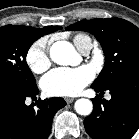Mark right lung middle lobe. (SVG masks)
I'll return each mask as SVG.
<instances>
[{
  "instance_id": "obj_1",
  "label": "right lung middle lobe",
  "mask_w": 139,
  "mask_h": 139,
  "mask_svg": "<svg viewBox=\"0 0 139 139\" xmlns=\"http://www.w3.org/2000/svg\"><path fill=\"white\" fill-rule=\"evenodd\" d=\"M41 35L25 26L0 27V83L33 90L35 78L26 63L30 46Z\"/></svg>"
}]
</instances>
